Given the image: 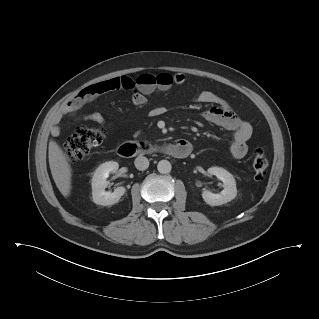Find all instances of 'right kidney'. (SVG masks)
Instances as JSON below:
<instances>
[{"instance_id": "1", "label": "right kidney", "mask_w": 319, "mask_h": 319, "mask_svg": "<svg viewBox=\"0 0 319 319\" xmlns=\"http://www.w3.org/2000/svg\"><path fill=\"white\" fill-rule=\"evenodd\" d=\"M119 164L114 161H109L101 164L95 171L92 178V197L93 202L99 205H113L117 203L124 195L125 187H117L113 193L105 192V188L108 186L106 179L110 173L117 172Z\"/></svg>"}]
</instances>
